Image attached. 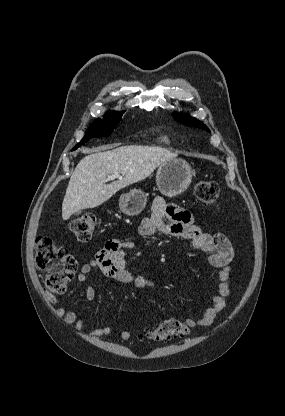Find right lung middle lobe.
<instances>
[{
    "mask_svg": "<svg viewBox=\"0 0 285 416\" xmlns=\"http://www.w3.org/2000/svg\"><path fill=\"white\" fill-rule=\"evenodd\" d=\"M124 112H108L104 119H97L87 130L84 138L77 144L73 150L77 149L80 144L89 141L90 138H101L109 136L115 129Z\"/></svg>",
    "mask_w": 285,
    "mask_h": 416,
    "instance_id": "right-lung-middle-lobe-1",
    "label": "right lung middle lobe"
}]
</instances>
